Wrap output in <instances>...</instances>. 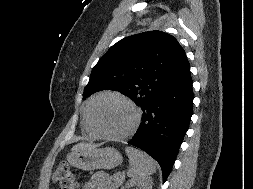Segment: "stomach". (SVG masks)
<instances>
[{
	"label": "stomach",
	"mask_w": 253,
	"mask_h": 189,
	"mask_svg": "<svg viewBox=\"0 0 253 189\" xmlns=\"http://www.w3.org/2000/svg\"><path fill=\"white\" fill-rule=\"evenodd\" d=\"M68 163L78 169H111L120 165L123 161L121 154L111 147L88 148L72 151L67 155Z\"/></svg>",
	"instance_id": "1"
}]
</instances>
